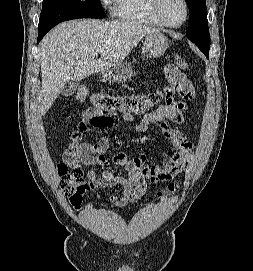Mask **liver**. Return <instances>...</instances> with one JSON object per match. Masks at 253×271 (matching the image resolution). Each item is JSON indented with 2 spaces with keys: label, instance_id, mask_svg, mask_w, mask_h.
<instances>
[{
  "label": "liver",
  "instance_id": "1",
  "mask_svg": "<svg viewBox=\"0 0 253 271\" xmlns=\"http://www.w3.org/2000/svg\"><path fill=\"white\" fill-rule=\"evenodd\" d=\"M157 31L136 22L94 19L67 21L54 27L40 43V114L47 113L66 82L81 81L115 67L144 36Z\"/></svg>",
  "mask_w": 253,
  "mask_h": 271
}]
</instances>
